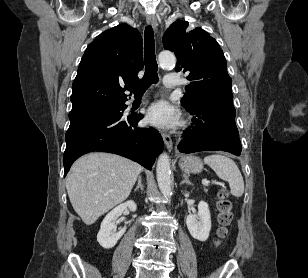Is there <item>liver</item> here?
Returning <instances> with one entry per match:
<instances>
[{
    "instance_id": "1",
    "label": "liver",
    "mask_w": 308,
    "mask_h": 278,
    "mask_svg": "<svg viewBox=\"0 0 308 278\" xmlns=\"http://www.w3.org/2000/svg\"><path fill=\"white\" fill-rule=\"evenodd\" d=\"M138 163L119 155L93 152L80 157L66 179L70 202L86 225H91L125 201L142 171Z\"/></svg>"
}]
</instances>
